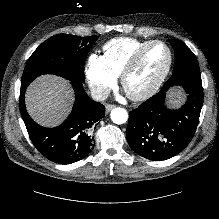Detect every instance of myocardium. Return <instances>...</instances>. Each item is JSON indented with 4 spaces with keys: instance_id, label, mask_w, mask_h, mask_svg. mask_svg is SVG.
<instances>
[{
    "instance_id": "f54148a6",
    "label": "myocardium",
    "mask_w": 219,
    "mask_h": 219,
    "mask_svg": "<svg viewBox=\"0 0 219 219\" xmlns=\"http://www.w3.org/2000/svg\"><path fill=\"white\" fill-rule=\"evenodd\" d=\"M154 45H162L168 54V61L167 64L164 68V70L157 76V78L143 91L137 92V93H132L129 92L126 89V80L128 76L133 72V70L136 68V66L139 64L143 56L146 54V52L153 47ZM173 64V53L170 47L163 41L161 40H152L150 41L147 45L139 49L137 52H135L130 59L126 62L124 67L122 68L120 72V83L124 91L126 92L127 96L135 101H141V100H146L153 96L163 85L165 82L166 78L168 77L171 68Z\"/></svg>"
}]
</instances>
